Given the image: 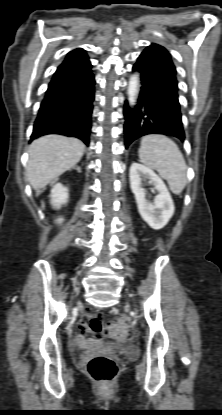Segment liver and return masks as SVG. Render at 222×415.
I'll use <instances>...</instances> for the list:
<instances>
[{"label": "liver", "instance_id": "1", "mask_svg": "<svg viewBox=\"0 0 222 415\" xmlns=\"http://www.w3.org/2000/svg\"><path fill=\"white\" fill-rule=\"evenodd\" d=\"M85 151L84 143L62 135H46L29 146L26 177L34 190L39 191L75 166Z\"/></svg>", "mask_w": 222, "mask_h": 415}]
</instances>
